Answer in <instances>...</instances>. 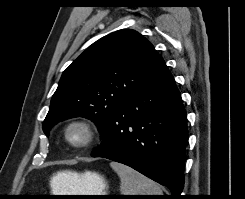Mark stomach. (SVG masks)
Masks as SVG:
<instances>
[{
	"label": "stomach",
	"instance_id": "obj_1",
	"mask_svg": "<svg viewBox=\"0 0 245 199\" xmlns=\"http://www.w3.org/2000/svg\"><path fill=\"white\" fill-rule=\"evenodd\" d=\"M57 195H105L107 184L96 172H60L52 177Z\"/></svg>",
	"mask_w": 245,
	"mask_h": 199
}]
</instances>
